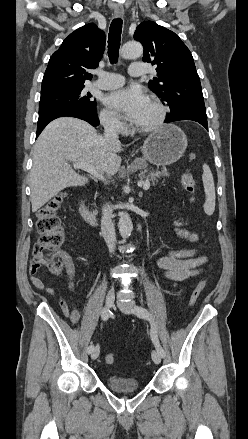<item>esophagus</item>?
<instances>
[{
	"mask_svg": "<svg viewBox=\"0 0 248 439\" xmlns=\"http://www.w3.org/2000/svg\"><path fill=\"white\" fill-rule=\"evenodd\" d=\"M114 15L117 18L123 17L124 16V9L122 6H116L115 10H114Z\"/></svg>",
	"mask_w": 248,
	"mask_h": 439,
	"instance_id": "1",
	"label": "esophagus"
}]
</instances>
